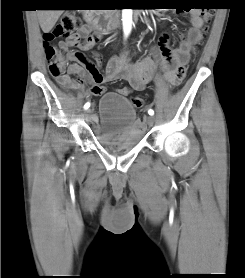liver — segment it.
Listing matches in <instances>:
<instances>
[{"instance_id": "1", "label": "liver", "mask_w": 245, "mask_h": 278, "mask_svg": "<svg viewBox=\"0 0 245 278\" xmlns=\"http://www.w3.org/2000/svg\"><path fill=\"white\" fill-rule=\"evenodd\" d=\"M63 10H38L37 16L40 27L44 33H48L54 27Z\"/></svg>"}]
</instances>
